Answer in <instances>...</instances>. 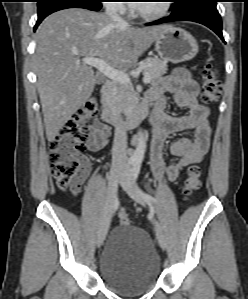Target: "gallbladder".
I'll use <instances>...</instances> for the list:
<instances>
[{
    "label": "gallbladder",
    "instance_id": "obj_1",
    "mask_svg": "<svg viewBox=\"0 0 248 299\" xmlns=\"http://www.w3.org/2000/svg\"><path fill=\"white\" fill-rule=\"evenodd\" d=\"M97 83H101V78H98V79H97Z\"/></svg>",
    "mask_w": 248,
    "mask_h": 299
}]
</instances>
